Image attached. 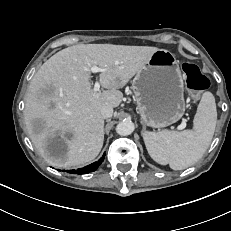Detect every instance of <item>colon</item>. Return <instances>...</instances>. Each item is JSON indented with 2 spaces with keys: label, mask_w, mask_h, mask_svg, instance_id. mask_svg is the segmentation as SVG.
Instances as JSON below:
<instances>
[{
  "label": "colon",
  "mask_w": 231,
  "mask_h": 231,
  "mask_svg": "<svg viewBox=\"0 0 231 231\" xmlns=\"http://www.w3.org/2000/svg\"><path fill=\"white\" fill-rule=\"evenodd\" d=\"M182 70L186 76L187 86L191 91L200 92L209 87V80L201 73L195 64L184 63Z\"/></svg>",
  "instance_id": "5ec220e1"
}]
</instances>
